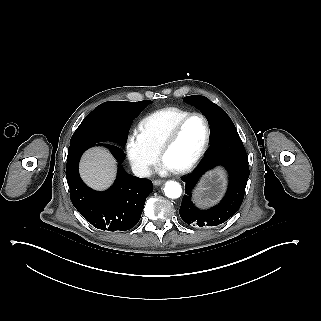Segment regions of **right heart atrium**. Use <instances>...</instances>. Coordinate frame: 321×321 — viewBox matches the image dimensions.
<instances>
[{
    "label": "right heart atrium",
    "instance_id": "right-heart-atrium-1",
    "mask_svg": "<svg viewBox=\"0 0 321 321\" xmlns=\"http://www.w3.org/2000/svg\"><path fill=\"white\" fill-rule=\"evenodd\" d=\"M126 154L132 169L141 177L151 175L159 157V152L147 142L140 131L136 130L128 136Z\"/></svg>",
    "mask_w": 321,
    "mask_h": 321
}]
</instances>
